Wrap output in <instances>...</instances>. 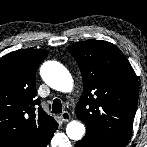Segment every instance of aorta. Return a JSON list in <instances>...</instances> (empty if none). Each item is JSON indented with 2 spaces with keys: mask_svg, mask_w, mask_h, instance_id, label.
<instances>
[{
  "mask_svg": "<svg viewBox=\"0 0 147 147\" xmlns=\"http://www.w3.org/2000/svg\"><path fill=\"white\" fill-rule=\"evenodd\" d=\"M43 80L53 89L69 92L73 87V80L69 71L55 61L45 62L40 70ZM66 134L72 140H80L85 134V126L79 121H71L66 127Z\"/></svg>",
  "mask_w": 147,
  "mask_h": 147,
  "instance_id": "1",
  "label": "aorta"
}]
</instances>
